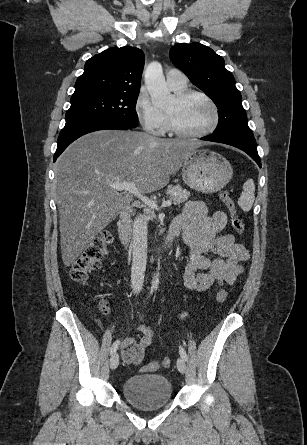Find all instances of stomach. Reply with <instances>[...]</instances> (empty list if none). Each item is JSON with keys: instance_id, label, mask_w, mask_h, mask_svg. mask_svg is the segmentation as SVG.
<instances>
[{"instance_id": "obj_1", "label": "stomach", "mask_w": 307, "mask_h": 445, "mask_svg": "<svg viewBox=\"0 0 307 445\" xmlns=\"http://www.w3.org/2000/svg\"><path fill=\"white\" fill-rule=\"evenodd\" d=\"M184 182L204 194L224 188L233 176V168L222 154L209 148H194L182 166Z\"/></svg>"}]
</instances>
